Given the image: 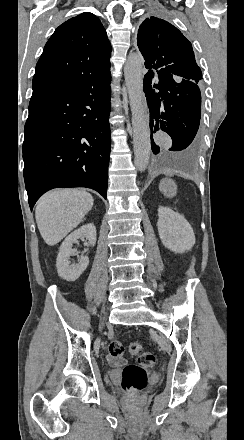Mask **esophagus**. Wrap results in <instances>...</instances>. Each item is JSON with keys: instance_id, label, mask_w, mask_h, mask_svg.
<instances>
[{"instance_id": "esophagus-1", "label": "esophagus", "mask_w": 244, "mask_h": 440, "mask_svg": "<svg viewBox=\"0 0 244 440\" xmlns=\"http://www.w3.org/2000/svg\"><path fill=\"white\" fill-rule=\"evenodd\" d=\"M143 106H144L145 109H147V103H146V100L143 101Z\"/></svg>"}]
</instances>
